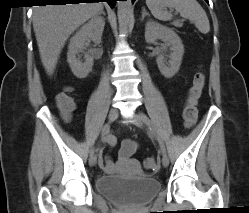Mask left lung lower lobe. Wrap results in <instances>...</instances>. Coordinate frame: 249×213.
Returning <instances> with one entry per match:
<instances>
[{
    "label": "left lung lower lobe",
    "instance_id": "1",
    "mask_svg": "<svg viewBox=\"0 0 249 213\" xmlns=\"http://www.w3.org/2000/svg\"><path fill=\"white\" fill-rule=\"evenodd\" d=\"M135 0H132V3L134 2ZM206 2H208V0H205Z\"/></svg>",
    "mask_w": 249,
    "mask_h": 213
}]
</instances>
